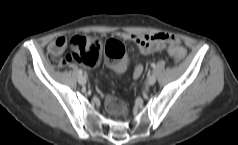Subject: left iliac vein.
Here are the masks:
<instances>
[{
    "label": "left iliac vein",
    "mask_w": 238,
    "mask_h": 145,
    "mask_svg": "<svg viewBox=\"0 0 238 145\" xmlns=\"http://www.w3.org/2000/svg\"><path fill=\"white\" fill-rule=\"evenodd\" d=\"M155 82H156V77H155L154 75H151V76L148 77V79H147V84H148L149 86L154 85Z\"/></svg>",
    "instance_id": "left-iliac-vein-1"
}]
</instances>
